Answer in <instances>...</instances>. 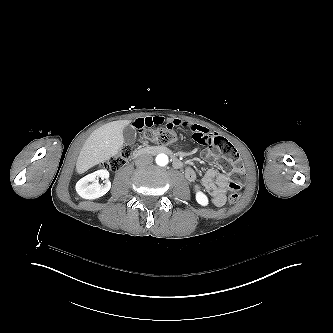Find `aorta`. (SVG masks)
Returning <instances> with one entry per match:
<instances>
[{
    "label": "aorta",
    "mask_w": 333,
    "mask_h": 333,
    "mask_svg": "<svg viewBox=\"0 0 333 333\" xmlns=\"http://www.w3.org/2000/svg\"><path fill=\"white\" fill-rule=\"evenodd\" d=\"M156 163L159 166H165L168 164V156L164 153L158 154L156 156Z\"/></svg>",
    "instance_id": "aorta-1"
}]
</instances>
